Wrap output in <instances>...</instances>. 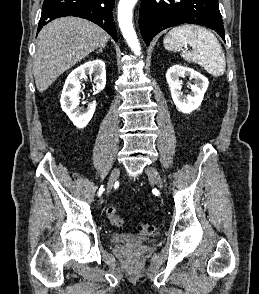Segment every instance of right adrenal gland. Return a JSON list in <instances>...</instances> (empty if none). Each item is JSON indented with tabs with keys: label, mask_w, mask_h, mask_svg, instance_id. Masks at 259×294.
Here are the masks:
<instances>
[{
	"label": "right adrenal gland",
	"mask_w": 259,
	"mask_h": 294,
	"mask_svg": "<svg viewBox=\"0 0 259 294\" xmlns=\"http://www.w3.org/2000/svg\"><path fill=\"white\" fill-rule=\"evenodd\" d=\"M105 48V45L100 47V49L98 50L99 53H102L103 52V49Z\"/></svg>",
	"instance_id": "2a0ac1e0"
}]
</instances>
